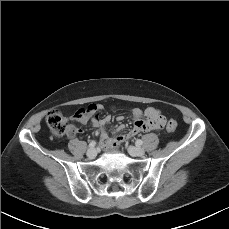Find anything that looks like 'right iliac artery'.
<instances>
[{"label":"right iliac artery","instance_id":"1","mask_svg":"<svg viewBox=\"0 0 229 229\" xmlns=\"http://www.w3.org/2000/svg\"><path fill=\"white\" fill-rule=\"evenodd\" d=\"M96 146V141L92 140L90 143H89V147L90 148H93Z\"/></svg>","mask_w":229,"mask_h":229}]
</instances>
